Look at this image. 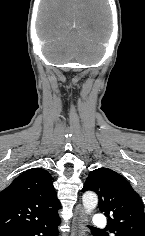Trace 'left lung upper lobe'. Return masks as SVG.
<instances>
[{"instance_id":"left-lung-upper-lobe-1","label":"left lung upper lobe","mask_w":145,"mask_h":236,"mask_svg":"<svg viewBox=\"0 0 145 236\" xmlns=\"http://www.w3.org/2000/svg\"><path fill=\"white\" fill-rule=\"evenodd\" d=\"M99 196V210L108 217V228L115 236H145L142 200L128 181L108 168L90 172L82 191Z\"/></svg>"}]
</instances>
